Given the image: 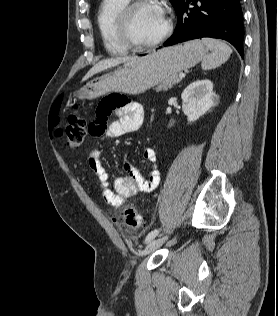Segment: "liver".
Segmentation results:
<instances>
[{
  "label": "liver",
  "mask_w": 278,
  "mask_h": 316,
  "mask_svg": "<svg viewBox=\"0 0 278 316\" xmlns=\"http://www.w3.org/2000/svg\"><path fill=\"white\" fill-rule=\"evenodd\" d=\"M139 59L137 56H124V57H117V58H111V59H105L100 62H98L96 65H94L90 71L84 76L82 79L83 81L89 79L94 74L99 73L101 71H104L106 69H109L111 67H114L116 65H119L121 63H127L131 61H135Z\"/></svg>",
  "instance_id": "obj_1"
}]
</instances>
